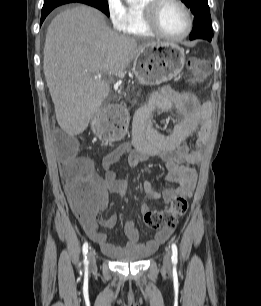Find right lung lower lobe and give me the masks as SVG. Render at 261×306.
Here are the masks:
<instances>
[{
	"instance_id": "98d812e1",
	"label": "right lung lower lobe",
	"mask_w": 261,
	"mask_h": 306,
	"mask_svg": "<svg viewBox=\"0 0 261 306\" xmlns=\"http://www.w3.org/2000/svg\"><path fill=\"white\" fill-rule=\"evenodd\" d=\"M52 10H53V9H49V10L42 11L40 26H41V24L43 23V21H44V19L46 18V16H47Z\"/></svg>"
}]
</instances>
